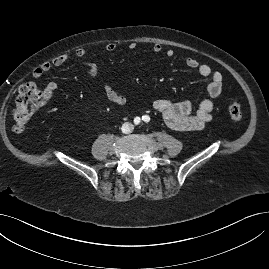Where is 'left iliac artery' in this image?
Returning a JSON list of instances; mask_svg holds the SVG:
<instances>
[{
	"instance_id": "1",
	"label": "left iliac artery",
	"mask_w": 269,
	"mask_h": 269,
	"mask_svg": "<svg viewBox=\"0 0 269 269\" xmlns=\"http://www.w3.org/2000/svg\"><path fill=\"white\" fill-rule=\"evenodd\" d=\"M142 120H144L145 122H149L150 117L145 115V116L142 117Z\"/></svg>"
}]
</instances>
